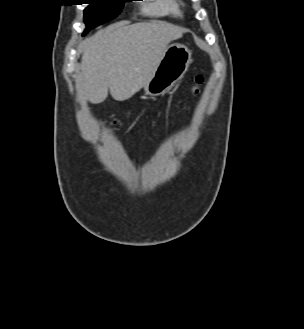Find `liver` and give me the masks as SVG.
Segmentation results:
<instances>
[{
	"label": "liver",
	"instance_id": "1",
	"mask_svg": "<svg viewBox=\"0 0 304 329\" xmlns=\"http://www.w3.org/2000/svg\"><path fill=\"white\" fill-rule=\"evenodd\" d=\"M183 29L163 21L122 23L100 31L83 42L79 84L93 104L110 94L116 101L135 95L153 76L168 44Z\"/></svg>",
	"mask_w": 304,
	"mask_h": 329
}]
</instances>
